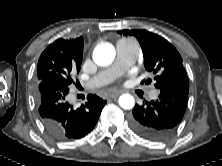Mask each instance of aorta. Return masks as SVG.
Here are the masks:
<instances>
[{
    "label": "aorta",
    "mask_w": 222,
    "mask_h": 166,
    "mask_svg": "<svg viewBox=\"0 0 222 166\" xmlns=\"http://www.w3.org/2000/svg\"><path fill=\"white\" fill-rule=\"evenodd\" d=\"M115 55V48L112 44L102 43L94 49L93 60L97 65L107 66L113 62ZM118 102L119 105L125 110H130L135 105L134 97L130 94L121 95Z\"/></svg>",
    "instance_id": "1"
}]
</instances>
